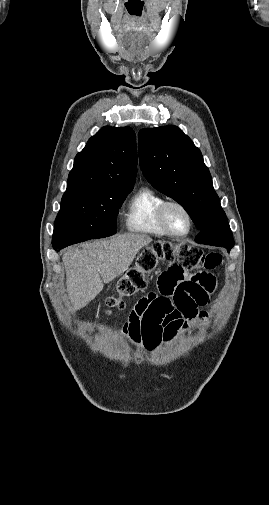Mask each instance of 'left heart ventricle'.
I'll return each mask as SVG.
<instances>
[{"label":"left heart ventricle","mask_w":269,"mask_h":505,"mask_svg":"<svg viewBox=\"0 0 269 505\" xmlns=\"http://www.w3.org/2000/svg\"><path fill=\"white\" fill-rule=\"evenodd\" d=\"M166 222L171 230L177 233H184L189 227L186 214L178 207L171 206L166 211Z\"/></svg>","instance_id":"1"}]
</instances>
